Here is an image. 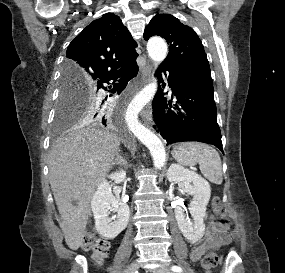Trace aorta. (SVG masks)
Masks as SVG:
<instances>
[{
    "instance_id": "1",
    "label": "aorta",
    "mask_w": 285,
    "mask_h": 273,
    "mask_svg": "<svg viewBox=\"0 0 285 273\" xmlns=\"http://www.w3.org/2000/svg\"><path fill=\"white\" fill-rule=\"evenodd\" d=\"M147 51L155 63H161L167 56V44L160 37H153L147 43ZM157 91V80L153 79L135 95L126 113V122L133 134L149 149L154 167L161 169L166 161V152L162 141L138 120V114L150 102Z\"/></svg>"
}]
</instances>
